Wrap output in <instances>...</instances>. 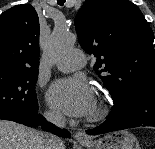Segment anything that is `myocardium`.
<instances>
[{"instance_id": "f54148a6", "label": "myocardium", "mask_w": 155, "mask_h": 149, "mask_svg": "<svg viewBox=\"0 0 155 149\" xmlns=\"http://www.w3.org/2000/svg\"><path fill=\"white\" fill-rule=\"evenodd\" d=\"M107 111L106 105L101 100H97L95 101V108L88 114L87 120L89 122L99 121L107 114Z\"/></svg>"}]
</instances>
